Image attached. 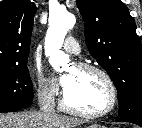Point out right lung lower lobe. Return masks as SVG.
<instances>
[{"label": "right lung lower lobe", "instance_id": "right-lung-lower-lobe-1", "mask_svg": "<svg viewBox=\"0 0 142 128\" xmlns=\"http://www.w3.org/2000/svg\"><path fill=\"white\" fill-rule=\"evenodd\" d=\"M23 109V107L19 106H0V112H13V111H19Z\"/></svg>", "mask_w": 142, "mask_h": 128}]
</instances>
